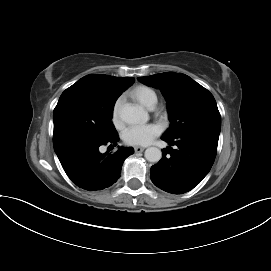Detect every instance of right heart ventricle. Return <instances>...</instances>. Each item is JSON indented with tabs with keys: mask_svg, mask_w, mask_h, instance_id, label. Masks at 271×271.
<instances>
[{
	"mask_svg": "<svg viewBox=\"0 0 271 271\" xmlns=\"http://www.w3.org/2000/svg\"><path fill=\"white\" fill-rule=\"evenodd\" d=\"M132 94L147 108H153L157 103V94L149 87L139 86L133 90Z\"/></svg>",
	"mask_w": 271,
	"mask_h": 271,
	"instance_id": "obj_1",
	"label": "right heart ventricle"
}]
</instances>
